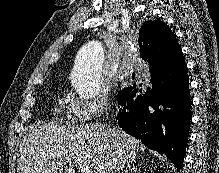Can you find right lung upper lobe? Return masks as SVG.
I'll list each match as a JSON object with an SVG mask.
<instances>
[{"instance_id":"cb5924a9","label":"right lung upper lobe","mask_w":219,"mask_h":173,"mask_svg":"<svg viewBox=\"0 0 219 173\" xmlns=\"http://www.w3.org/2000/svg\"><path fill=\"white\" fill-rule=\"evenodd\" d=\"M140 54L144 60L161 55L160 59L175 60L182 57L181 47L176 36L166 23L156 20L145 22L139 30Z\"/></svg>"}]
</instances>
